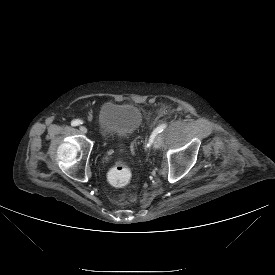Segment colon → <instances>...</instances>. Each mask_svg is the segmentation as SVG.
<instances>
[{
    "label": "colon",
    "mask_w": 275,
    "mask_h": 275,
    "mask_svg": "<svg viewBox=\"0 0 275 275\" xmlns=\"http://www.w3.org/2000/svg\"><path fill=\"white\" fill-rule=\"evenodd\" d=\"M107 177L111 184L118 187L129 181L131 171L125 164L117 162L110 167Z\"/></svg>",
    "instance_id": "obj_1"
}]
</instances>
